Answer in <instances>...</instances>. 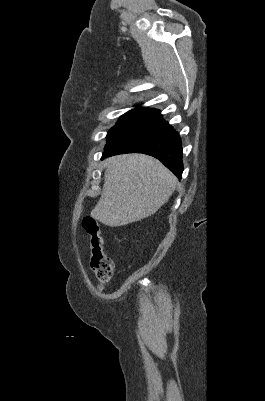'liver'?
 Returning <instances> with one entry per match:
<instances>
[{"instance_id":"6515ba94","label":"liver","mask_w":265,"mask_h":401,"mask_svg":"<svg viewBox=\"0 0 265 401\" xmlns=\"http://www.w3.org/2000/svg\"><path fill=\"white\" fill-rule=\"evenodd\" d=\"M106 162L100 201L91 217L108 227L151 217L176 188L174 174L148 154H117L106 158Z\"/></svg>"}]
</instances>
